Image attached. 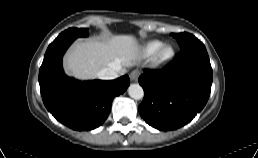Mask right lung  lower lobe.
Here are the masks:
<instances>
[{
  "instance_id": "98d812e1",
  "label": "right lung lower lobe",
  "mask_w": 258,
  "mask_h": 158,
  "mask_svg": "<svg viewBox=\"0 0 258 158\" xmlns=\"http://www.w3.org/2000/svg\"><path fill=\"white\" fill-rule=\"evenodd\" d=\"M76 38H56L48 47L39 70L41 96L47 110L73 130H92L108 117L115 96L129 86L127 75L111 81H78L67 77L62 57Z\"/></svg>"
}]
</instances>
